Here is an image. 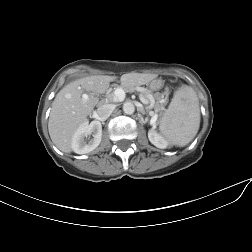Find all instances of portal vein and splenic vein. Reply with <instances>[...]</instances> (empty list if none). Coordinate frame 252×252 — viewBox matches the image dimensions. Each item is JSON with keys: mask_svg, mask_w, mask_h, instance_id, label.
<instances>
[{"mask_svg": "<svg viewBox=\"0 0 252 252\" xmlns=\"http://www.w3.org/2000/svg\"><path fill=\"white\" fill-rule=\"evenodd\" d=\"M82 97H83L84 100H87L89 98V96L87 94H83ZM124 98H125V92H124V90L122 88H117L115 90L114 95H113V97L111 99L114 102H119V101H123ZM140 100H141L142 103L145 104L146 101H145V99H144L143 96H140ZM151 115H152L153 121H156L157 117L154 115L153 112H151Z\"/></svg>", "mask_w": 252, "mask_h": 252, "instance_id": "obj_1", "label": "portal vein and splenic vein"}]
</instances>
